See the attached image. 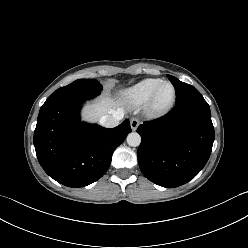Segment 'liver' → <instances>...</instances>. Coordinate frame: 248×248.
Wrapping results in <instances>:
<instances>
[{
  "instance_id": "liver-1",
  "label": "liver",
  "mask_w": 248,
  "mask_h": 248,
  "mask_svg": "<svg viewBox=\"0 0 248 248\" xmlns=\"http://www.w3.org/2000/svg\"><path fill=\"white\" fill-rule=\"evenodd\" d=\"M116 109L119 110V101L109 96H104L95 103L84 107L83 118L95 121L104 115L112 114Z\"/></svg>"
}]
</instances>
